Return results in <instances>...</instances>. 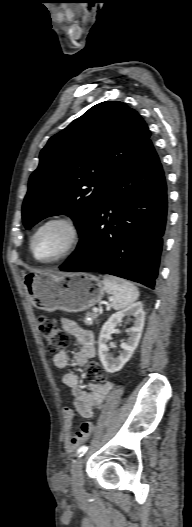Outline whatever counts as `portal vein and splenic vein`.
Here are the masks:
<instances>
[{
  "instance_id": "1",
  "label": "portal vein and splenic vein",
  "mask_w": 192,
  "mask_h": 527,
  "mask_svg": "<svg viewBox=\"0 0 192 527\" xmlns=\"http://www.w3.org/2000/svg\"><path fill=\"white\" fill-rule=\"evenodd\" d=\"M93 312H98V309H97V308H94V309H93Z\"/></svg>"
}]
</instances>
